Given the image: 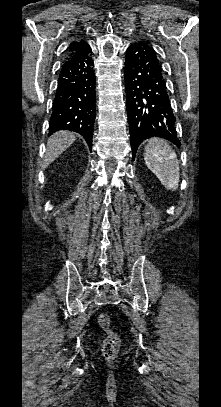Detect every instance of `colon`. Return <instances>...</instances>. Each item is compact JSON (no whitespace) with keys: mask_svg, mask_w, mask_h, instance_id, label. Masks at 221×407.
Here are the masks:
<instances>
[{"mask_svg":"<svg viewBox=\"0 0 221 407\" xmlns=\"http://www.w3.org/2000/svg\"><path fill=\"white\" fill-rule=\"evenodd\" d=\"M100 327L106 333V337L102 343L103 356L111 360L113 359L119 350L121 343L120 336L112 329L110 319L107 315L101 314L98 318Z\"/></svg>","mask_w":221,"mask_h":407,"instance_id":"colon-1","label":"colon"}]
</instances>
